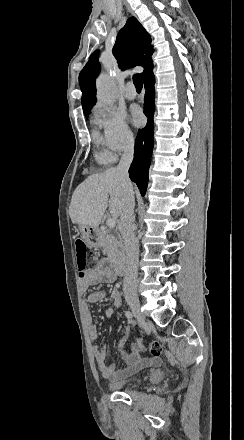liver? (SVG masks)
I'll list each match as a JSON object with an SVG mask.
<instances>
[{
  "mask_svg": "<svg viewBox=\"0 0 244 440\" xmlns=\"http://www.w3.org/2000/svg\"><path fill=\"white\" fill-rule=\"evenodd\" d=\"M124 196L116 168L88 176L73 192L69 206L72 224L98 228L107 208L112 218H119Z\"/></svg>",
  "mask_w": 244,
  "mask_h": 440,
  "instance_id": "6515ba94",
  "label": "liver"
}]
</instances>
